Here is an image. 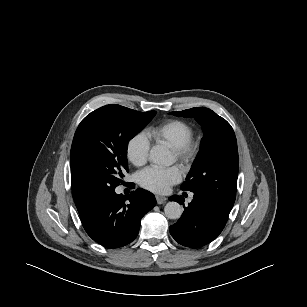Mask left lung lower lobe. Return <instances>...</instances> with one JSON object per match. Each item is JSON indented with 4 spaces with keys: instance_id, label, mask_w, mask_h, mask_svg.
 <instances>
[{
    "instance_id": "1",
    "label": "left lung lower lobe",
    "mask_w": 307,
    "mask_h": 307,
    "mask_svg": "<svg viewBox=\"0 0 307 307\" xmlns=\"http://www.w3.org/2000/svg\"><path fill=\"white\" fill-rule=\"evenodd\" d=\"M169 200L184 206L181 196L174 195ZM184 209L181 218L169 230L179 244L190 248L202 247L213 241L223 230L230 212L201 193H194L192 202Z\"/></svg>"
}]
</instances>
